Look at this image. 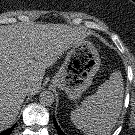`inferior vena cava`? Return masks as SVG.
Wrapping results in <instances>:
<instances>
[{"label":"inferior vena cava","instance_id":"obj_1","mask_svg":"<svg viewBox=\"0 0 135 135\" xmlns=\"http://www.w3.org/2000/svg\"><path fill=\"white\" fill-rule=\"evenodd\" d=\"M25 91L30 92V91H31V86L28 85V86L25 88Z\"/></svg>","mask_w":135,"mask_h":135}]
</instances>
